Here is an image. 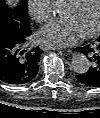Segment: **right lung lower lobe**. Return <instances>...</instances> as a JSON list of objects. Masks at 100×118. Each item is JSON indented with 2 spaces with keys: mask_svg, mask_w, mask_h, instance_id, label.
<instances>
[{
  "mask_svg": "<svg viewBox=\"0 0 100 118\" xmlns=\"http://www.w3.org/2000/svg\"><path fill=\"white\" fill-rule=\"evenodd\" d=\"M29 31L21 38L0 40V80L13 85L30 82L37 74L42 50L30 43Z\"/></svg>",
  "mask_w": 100,
  "mask_h": 118,
  "instance_id": "right-lung-lower-lobe-1",
  "label": "right lung lower lobe"
}]
</instances>
